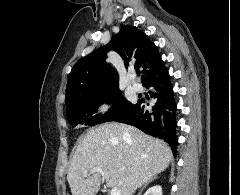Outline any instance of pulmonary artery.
<instances>
[{
  "instance_id": "e3ab8cb5",
  "label": "pulmonary artery",
  "mask_w": 240,
  "mask_h": 195,
  "mask_svg": "<svg viewBox=\"0 0 240 195\" xmlns=\"http://www.w3.org/2000/svg\"><path fill=\"white\" fill-rule=\"evenodd\" d=\"M132 88L137 93L143 92V86L138 82L134 83Z\"/></svg>"
}]
</instances>
